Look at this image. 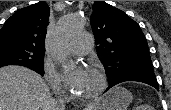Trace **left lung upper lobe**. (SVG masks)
Here are the masks:
<instances>
[{"label": "left lung upper lobe", "instance_id": "left-lung-upper-lobe-1", "mask_svg": "<svg viewBox=\"0 0 171 110\" xmlns=\"http://www.w3.org/2000/svg\"><path fill=\"white\" fill-rule=\"evenodd\" d=\"M90 23L96 51L109 84L129 76L155 77L146 38L140 26L125 12L96 1Z\"/></svg>", "mask_w": 171, "mask_h": 110}]
</instances>
